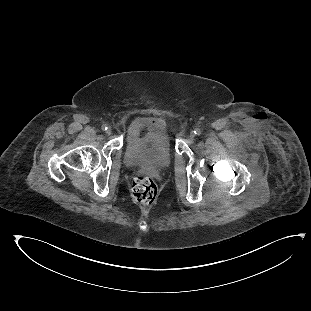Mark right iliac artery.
Returning <instances> with one entry per match:
<instances>
[{"instance_id": "right-iliac-artery-1", "label": "right iliac artery", "mask_w": 311, "mask_h": 311, "mask_svg": "<svg viewBox=\"0 0 311 311\" xmlns=\"http://www.w3.org/2000/svg\"><path fill=\"white\" fill-rule=\"evenodd\" d=\"M101 128H102V130H104V131H105V130H107V125H105V124H104V125H102V127H101Z\"/></svg>"}]
</instances>
